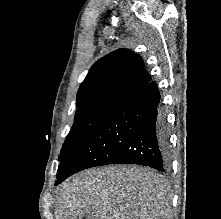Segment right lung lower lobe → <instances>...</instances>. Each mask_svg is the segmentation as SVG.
<instances>
[{
    "label": "right lung lower lobe",
    "mask_w": 221,
    "mask_h": 219,
    "mask_svg": "<svg viewBox=\"0 0 221 219\" xmlns=\"http://www.w3.org/2000/svg\"><path fill=\"white\" fill-rule=\"evenodd\" d=\"M159 103L155 82L126 96L59 164L55 186L78 171L107 164H138L167 172L169 134Z\"/></svg>",
    "instance_id": "98d812e1"
}]
</instances>
